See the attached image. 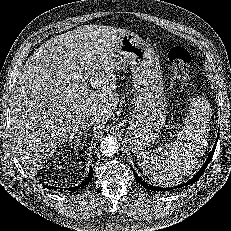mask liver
<instances>
[{
	"label": "liver",
	"instance_id": "1",
	"mask_svg": "<svg viewBox=\"0 0 231 231\" xmlns=\"http://www.w3.org/2000/svg\"><path fill=\"white\" fill-rule=\"evenodd\" d=\"M127 33L83 25L50 38L28 58L10 109V140L26 169L74 138L84 116L96 118L95 133L107 123L119 102L112 53Z\"/></svg>",
	"mask_w": 231,
	"mask_h": 231
}]
</instances>
